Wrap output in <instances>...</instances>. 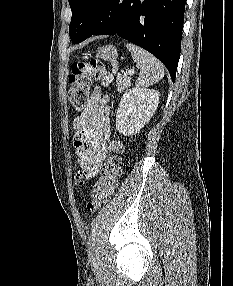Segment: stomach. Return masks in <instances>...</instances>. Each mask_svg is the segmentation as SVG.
Returning a JSON list of instances; mask_svg holds the SVG:
<instances>
[{"instance_id":"obj_1","label":"stomach","mask_w":233,"mask_h":286,"mask_svg":"<svg viewBox=\"0 0 233 286\" xmlns=\"http://www.w3.org/2000/svg\"><path fill=\"white\" fill-rule=\"evenodd\" d=\"M96 57L111 61V63L115 65V69H116V59L118 57V52L115 46L107 45V46L99 48L96 54Z\"/></svg>"}]
</instances>
